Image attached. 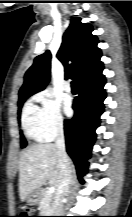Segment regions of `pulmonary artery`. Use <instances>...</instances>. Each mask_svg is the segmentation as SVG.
Here are the masks:
<instances>
[{
	"instance_id": "obj_1",
	"label": "pulmonary artery",
	"mask_w": 132,
	"mask_h": 217,
	"mask_svg": "<svg viewBox=\"0 0 132 217\" xmlns=\"http://www.w3.org/2000/svg\"><path fill=\"white\" fill-rule=\"evenodd\" d=\"M64 90H65L66 92H70V91H71V86H70V84H69L68 82H66V83L64 84Z\"/></svg>"
}]
</instances>
